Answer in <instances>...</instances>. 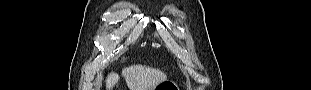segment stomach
I'll return each instance as SVG.
<instances>
[{"instance_id":"0dacf381","label":"stomach","mask_w":311,"mask_h":90,"mask_svg":"<svg viewBox=\"0 0 311 90\" xmlns=\"http://www.w3.org/2000/svg\"><path fill=\"white\" fill-rule=\"evenodd\" d=\"M155 90H178V89L173 82L165 80L161 82L159 85H157Z\"/></svg>"}]
</instances>
